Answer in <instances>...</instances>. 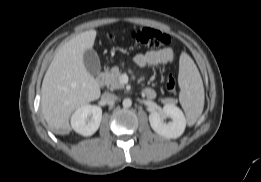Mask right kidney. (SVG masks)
<instances>
[{
  "instance_id": "ca27d5eb",
  "label": "right kidney",
  "mask_w": 261,
  "mask_h": 182,
  "mask_svg": "<svg viewBox=\"0 0 261 182\" xmlns=\"http://www.w3.org/2000/svg\"><path fill=\"white\" fill-rule=\"evenodd\" d=\"M91 116V118H89ZM102 120V109L96 105L85 104L79 107L71 117V127L83 136L93 135Z\"/></svg>"
}]
</instances>
